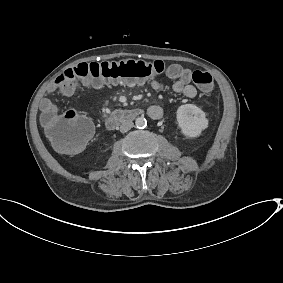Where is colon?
Instances as JSON below:
<instances>
[{"label": "colon", "instance_id": "colon-1", "mask_svg": "<svg viewBox=\"0 0 283 283\" xmlns=\"http://www.w3.org/2000/svg\"><path fill=\"white\" fill-rule=\"evenodd\" d=\"M161 61L121 60L101 63H82L64 71L58 78L63 82L80 84L89 82L94 87L108 83L139 84L164 71ZM192 80L203 92L213 89V78L209 73L195 71ZM42 124L54 147L63 153L79 152L90 139L93 126L90 120L74 111L62 114L44 113Z\"/></svg>", "mask_w": 283, "mask_h": 283}]
</instances>
